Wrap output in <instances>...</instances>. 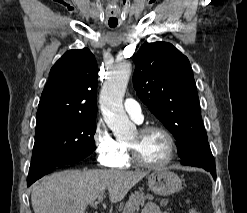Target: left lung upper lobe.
Instances as JSON below:
<instances>
[{"instance_id":"5c2ea615","label":"left lung upper lobe","mask_w":247,"mask_h":213,"mask_svg":"<svg viewBox=\"0 0 247 213\" xmlns=\"http://www.w3.org/2000/svg\"><path fill=\"white\" fill-rule=\"evenodd\" d=\"M134 88L149 110L177 140L184 158L208 140L188 58L167 42L145 43L134 56Z\"/></svg>"}]
</instances>
